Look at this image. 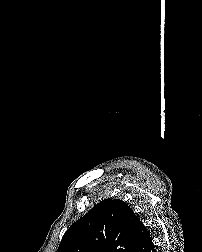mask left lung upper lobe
<instances>
[{"instance_id":"1","label":"left lung upper lobe","mask_w":202,"mask_h":252,"mask_svg":"<svg viewBox=\"0 0 202 252\" xmlns=\"http://www.w3.org/2000/svg\"><path fill=\"white\" fill-rule=\"evenodd\" d=\"M141 223L124 201L105 199L70 226L56 252H133Z\"/></svg>"}]
</instances>
